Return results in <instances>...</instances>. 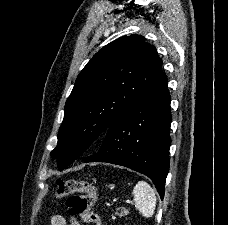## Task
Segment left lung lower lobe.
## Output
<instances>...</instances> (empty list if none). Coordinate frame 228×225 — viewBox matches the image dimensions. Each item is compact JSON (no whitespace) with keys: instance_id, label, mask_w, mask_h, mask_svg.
<instances>
[{"instance_id":"1","label":"left lung lower lobe","mask_w":228,"mask_h":225,"mask_svg":"<svg viewBox=\"0 0 228 225\" xmlns=\"http://www.w3.org/2000/svg\"><path fill=\"white\" fill-rule=\"evenodd\" d=\"M171 97L163 72L153 86L106 131L100 150L84 162L125 166L148 176L161 199L169 171Z\"/></svg>"}]
</instances>
